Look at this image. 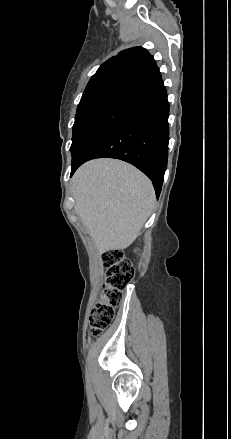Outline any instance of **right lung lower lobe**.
<instances>
[{
    "mask_svg": "<svg viewBox=\"0 0 231 439\" xmlns=\"http://www.w3.org/2000/svg\"><path fill=\"white\" fill-rule=\"evenodd\" d=\"M135 98L141 113L100 134L85 153L72 162L71 176L87 160L117 158L145 173L159 195L167 167L169 141V103L162 80L139 91Z\"/></svg>",
    "mask_w": 231,
    "mask_h": 439,
    "instance_id": "1",
    "label": "right lung lower lobe"
}]
</instances>
